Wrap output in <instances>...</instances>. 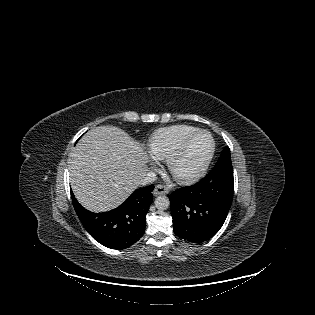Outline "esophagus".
I'll list each match as a JSON object with an SVG mask.
<instances>
[{
	"mask_svg": "<svg viewBox=\"0 0 315 315\" xmlns=\"http://www.w3.org/2000/svg\"><path fill=\"white\" fill-rule=\"evenodd\" d=\"M169 192V188L165 185H156L153 191L154 196L167 194Z\"/></svg>",
	"mask_w": 315,
	"mask_h": 315,
	"instance_id": "1",
	"label": "esophagus"
}]
</instances>
